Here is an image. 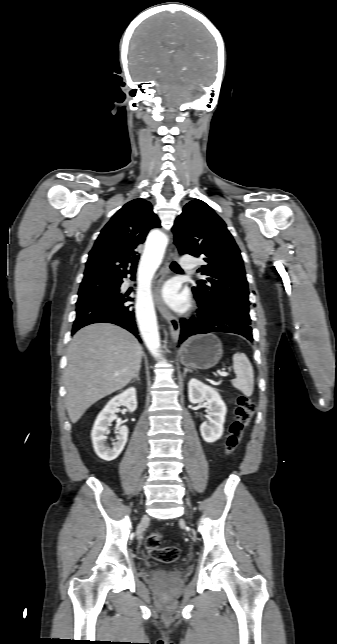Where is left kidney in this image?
<instances>
[{
    "label": "left kidney",
    "mask_w": 337,
    "mask_h": 644,
    "mask_svg": "<svg viewBox=\"0 0 337 644\" xmlns=\"http://www.w3.org/2000/svg\"><path fill=\"white\" fill-rule=\"evenodd\" d=\"M188 397L193 404L203 400L208 404L210 411L208 421L200 426L201 436L204 441L213 443L220 439L224 431L223 425L227 407L217 390L193 378L188 383Z\"/></svg>",
    "instance_id": "obj_1"
}]
</instances>
